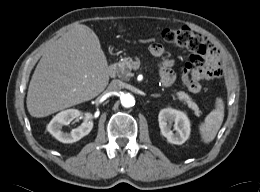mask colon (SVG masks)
Returning <instances> with one entry per match:
<instances>
[{
  "instance_id": "1",
  "label": "colon",
  "mask_w": 260,
  "mask_h": 192,
  "mask_svg": "<svg viewBox=\"0 0 260 192\" xmlns=\"http://www.w3.org/2000/svg\"><path fill=\"white\" fill-rule=\"evenodd\" d=\"M165 42L186 48L189 53V61L185 64L182 72V80L189 90L196 89V72L202 68L207 58L214 52L209 41L195 34L189 28L166 29L162 32Z\"/></svg>"
}]
</instances>
